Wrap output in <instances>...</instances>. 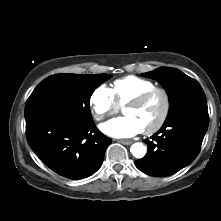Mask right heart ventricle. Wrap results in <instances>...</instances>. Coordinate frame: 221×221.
Here are the masks:
<instances>
[{"label": "right heart ventricle", "instance_id": "e07e8e85", "mask_svg": "<svg viewBox=\"0 0 221 221\" xmlns=\"http://www.w3.org/2000/svg\"><path fill=\"white\" fill-rule=\"evenodd\" d=\"M155 86L151 80L129 75L115 80L112 92L118 106H124L130 100Z\"/></svg>", "mask_w": 221, "mask_h": 221}]
</instances>
